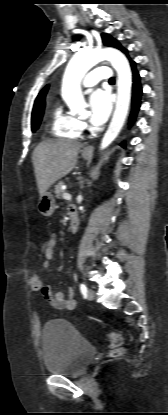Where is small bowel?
I'll return each mask as SVG.
<instances>
[{"label": "small bowel", "instance_id": "c3829d8e", "mask_svg": "<svg viewBox=\"0 0 168 415\" xmlns=\"http://www.w3.org/2000/svg\"><path fill=\"white\" fill-rule=\"evenodd\" d=\"M56 243V236L51 235L44 245L43 253L46 258L42 265L44 269H48L51 266L50 260L54 255ZM40 292L50 305L56 309L70 311L76 307V300L73 298L72 289H68L67 294L64 292L53 293L51 286L43 284V289Z\"/></svg>", "mask_w": 168, "mask_h": 415}]
</instances>
